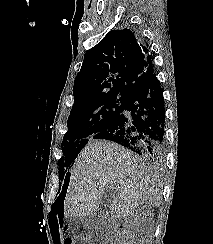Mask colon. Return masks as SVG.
<instances>
[{"instance_id":"5ec220e1","label":"colon","mask_w":213,"mask_h":244,"mask_svg":"<svg viewBox=\"0 0 213 244\" xmlns=\"http://www.w3.org/2000/svg\"><path fill=\"white\" fill-rule=\"evenodd\" d=\"M63 244H76L74 240L67 238L64 240Z\"/></svg>"}]
</instances>
